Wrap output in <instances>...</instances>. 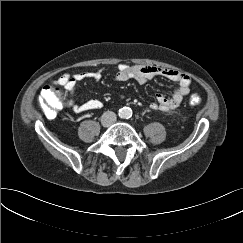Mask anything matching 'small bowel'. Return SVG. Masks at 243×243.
Wrapping results in <instances>:
<instances>
[{
    "label": "small bowel",
    "instance_id": "1",
    "mask_svg": "<svg viewBox=\"0 0 243 243\" xmlns=\"http://www.w3.org/2000/svg\"><path fill=\"white\" fill-rule=\"evenodd\" d=\"M102 77V71L81 72L74 75L65 73L61 75L54 85L62 86L70 95L69 105L75 113H83L91 110H97L103 107L102 101L98 99H90L83 104H77L73 98L78 82L84 79H93L99 81ZM155 77H163L170 81L176 82L178 87L171 96L159 93L156 95L155 101L150 104L153 110L169 111L177 108L183 99L191 91V80L188 75L183 72L162 68L153 65H128L120 63L117 66L115 80L124 82L134 79L137 82L144 84L148 80Z\"/></svg>",
    "mask_w": 243,
    "mask_h": 243
}]
</instances>
